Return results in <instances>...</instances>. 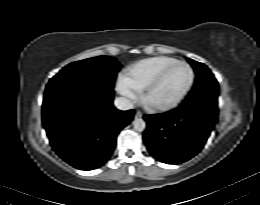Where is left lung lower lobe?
Wrapping results in <instances>:
<instances>
[{
	"label": "left lung lower lobe",
	"instance_id": "0a47b994",
	"mask_svg": "<svg viewBox=\"0 0 260 205\" xmlns=\"http://www.w3.org/2000/svg\"><path fill=\"white\" fill-rule=\"evenodd\" d=\"M217 118L218 109L204 103H183L163 114L145 115L144 143L157 160L180 164L203 148Z\"/></svg>",
	"mask_w": 260,
	"mask_h": 205
}]
</instances>
